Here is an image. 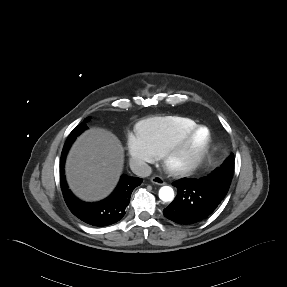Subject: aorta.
<instances>
[{
  "mask_svg": "<svg viewBox=\"0 0 287 287\" xmlns=\"http://www.w3.org/2000/svg\"><path fill=\"white\" fill-rule=\"evenodd\" d=\"M158 195L163 202H171L174 199V190L170 186H163Z\"/></svg>",
  "mask_w": 287,
  "mask_h": 287,
  "instance_id": "aorta-1",
  "label": "aorta"
}]
</instances>
